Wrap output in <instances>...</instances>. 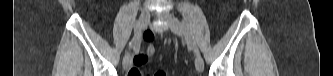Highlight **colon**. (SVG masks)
Returning a JSON list of instances; mask_svg holds the SVG:
<instances>
[{
  "label": "colon",
  "mask_w": 333,
  "mask_h": 76,
  "mask_svg": "<svg viewBox=\"0 0 333 76\" xmlns=\"http://www.w3.org/2000/svg\"><path fill=\"white\" fill-rule=\"evenodd\" d=\"M128 76H141L142 73L137 71L136 69H131L128 73ZM168 73L165 70H158L154 73V76H167Z\"/></svg>",
  "instance_id": "5ec220e1"
}]
</instances>
